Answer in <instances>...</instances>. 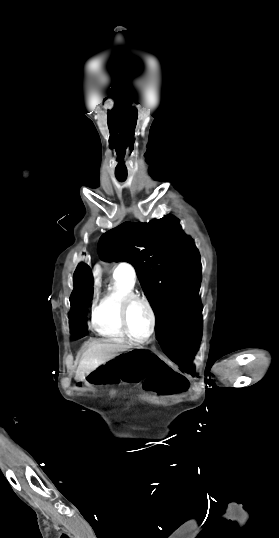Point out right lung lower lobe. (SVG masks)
I'll use <instances>...</instances> for the list:
<instances>
[{
  "mask_svg": "<svg viewBox=\"0 0 279 538\" xmlns=\"http://www.w3.org/2000/svg\"><path fill=\"white\" fill-rule=\"evenodd\" d=\"M93 280L89 266L79 264L74 273V290L70 297V327L72 334L86 335V309L93 298Z\"/></svg>",
  "mask_w": 279,
  "mask_h": 538,
  "instance_id": "right-lung-lower-lobe-1",
  "label": "right lung lower lobe"
}]
</instances>
